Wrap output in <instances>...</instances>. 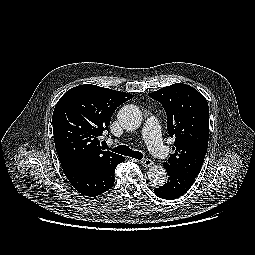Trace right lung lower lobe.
Returning <instances> with one entry per match:
<instances>
[{
    "label": "right lung lower lobe",
    "mask_w": 255,
    "mask_h": 255,
    "mask_svg": "<svg viewBox=\"0 0 255 255\" xmlns=\"http://www.w3.org/2000/svg\"><path fill=\"white\" fill-rule=\"evenodd\" d=\"M123 161L125 158L122 156L114 163L104 167L63 168V171L75 190L82 195L96 197L113 186L115 168Z\"/></svg>",
    "instance_id": "1"
}]
</instances>
